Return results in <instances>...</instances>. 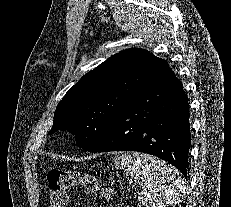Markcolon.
Listing matches in <instances>:
<instances>
[{"mask_svg":"<svg viewBox=\"0 0 231 207\" xmlns=\"http://www.w3.org/2000/svg\"><path fill=\"white\" fill-rule=\"evenodd\" d=\"M46 178L49 189V207H63L67 202V191L78 186L105 199L109 198L107 190L100 185L96 177L91 175L52 168L48 171Z\"/></svg>","mask_w":231,"mask_h":207,"instance_id":"colon-1","label":"colon"}]
</instances>
